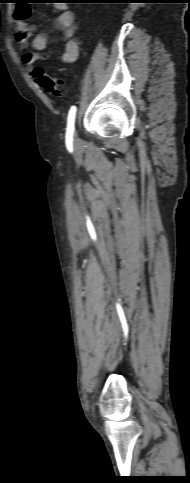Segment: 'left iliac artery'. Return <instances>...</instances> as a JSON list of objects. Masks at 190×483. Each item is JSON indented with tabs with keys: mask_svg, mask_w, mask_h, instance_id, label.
<instances>
[{
	"mask_svg": "<svg viewBox=\"0 0 190 483\" xmlns=\"http://www.w3.org/2000/svg\"><path fill=\"white\" fill-rule=\"evenodd\" d=\"M75 115H76V107L72 106L68 113V118H67V132H66L67 138L72 137V134L74 132Z\"/></svg>",
	"mask_w": 190,
	"mask_h": 483,
	"instance_id": "obj_1",
	"label": "left iliac artery"
}]
</instances>
